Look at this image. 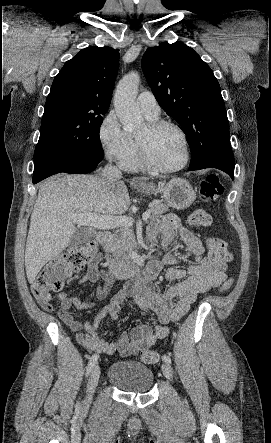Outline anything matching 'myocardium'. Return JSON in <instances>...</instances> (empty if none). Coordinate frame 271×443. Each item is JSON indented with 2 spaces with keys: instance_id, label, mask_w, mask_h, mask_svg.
Listing matches in <instances>:
<instances>
[{
  "instance_id": "1",
  "label": "myocardium",
  "mask_w": 271,
  "mask_h": 443,
  "mask_svg": "<svg viewBox=\"0 0 271 443\" xmlns=\"http://www.w3.org/2000/svg\"><path fill=\"white\" fill-rule=\"evenodd\" d=\"M165 127H171V128H174L175 130H177L184 141L185 158L182 161V163H180L177 166H173V167L160 166L153 160L151 153H150L149 144H148L149 137L152 134H154L155 132H157L158 130L165 128ZM137 145H138L139 155H140V159H141L142 164L146 168H148L152 171H155V172L172 173V172L182 170L183 168H185L189 164L190 159H191V154H192L191 143H190V139H189L187 133L180 125H178L175 122L169 121V120H164V119L150 120L146 125L145 135L138 136Z\"/></svg>"
}]
</instances>
